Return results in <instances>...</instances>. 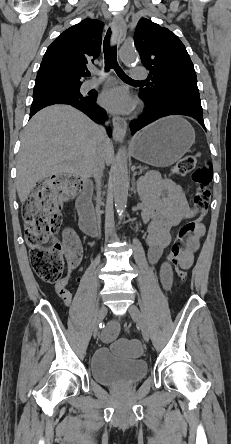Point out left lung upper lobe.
I'll list each match as a JSON object with an SVG mask.
<instances>
[{"mask_svg": "<svg viewBox=\"0 0 231 444\" xmlns=\"http://www.w3.org/2000/svg\"><path fill=\"white\" fill-rule=\"evenodd\" d=\"M134 44L152 81L140 89L141 95L157 105L178 101L200 104L193 63L173 32L142 18L135 30Z\"/></svg>", "mask_w": 231, "mask_h": 444, "instance_id": "obj_1", "label": "left lung upper lobe"}]
</instances>
